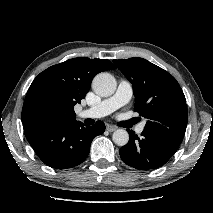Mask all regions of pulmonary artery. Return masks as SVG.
Segmentation results:
<instances>
[{"instance_id":"e3ab8cb5","label":"pulmonary artery","mask_w":213,"mask_h":213,"mask_svg":"<svg viewBox=\"0 0 213 213\" xmlns=\"http://www.w3.org/2000/svg\"><path fill=\"white\" fill-rule=\"evenodd\" d=\"M132 84L125 79H121L118 84V88L115 92V94L100 103L82 110L79 113L80 118H100L104 117L116 109L122 107L126 103L129 102L132 96ZM145 124L142 123L138 125L136 128L137 133H142L144 130Z\"/></svg>"}]
</instances>
